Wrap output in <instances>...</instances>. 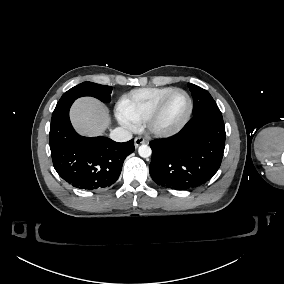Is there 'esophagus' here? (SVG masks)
Returning a JSON list of instances; mask_svg holds the SVG:
<instances>
[{"instance_id":"esophagus-1","label":"esophagus","mask_w":284,"mask_h":284,"mask_svg":"<svg viewBox=\"0 0 284 284\" xmlns=\"http://www.w3.org/2000/svg\"><path fill=\"white\" fill-rule=\"evenodd\" d=\"M146 142V139L143 136H138L134 139L135 148L139 147V145Z\"/></svg>"}]
</instances>
